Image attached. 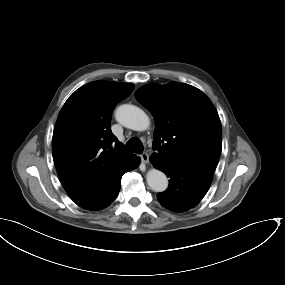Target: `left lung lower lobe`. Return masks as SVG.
Wrapping results in <instances>:
<instances>
[{
    "instance_id": "0a47b994",
    "label": "left lung lower lobe",
    "mask_w": 285,
    "mask_h": 285,
    "mask_svg": "<svg viewBox=\"0 0 285 285\" xmlns=\"http://www.w3.org/2000/svg\"><path fill=\"white\" fill-rule=\"evenodd\" d=\"M150 161L170 178L168 189L157 195L159 203L168 210L185 212L195 207L212 182V177L178 163L153 156Z\"/></svg>"
}]
</instances>
